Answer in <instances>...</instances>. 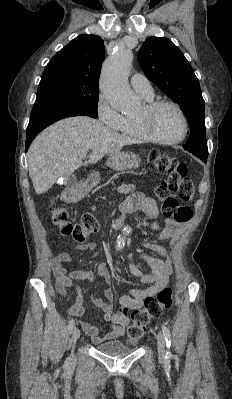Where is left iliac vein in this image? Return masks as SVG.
<instances>
[{
    "instance_id": "obj_1",
    "label": "left iliac vein",
    "mask_w": 232,
    "mask_h": 399,
    "mask_svg": "<svg viewBox=\"0 0 232 399\" xmlns=\"http://www.w3.org/2000/svg\"><path fill=\"white\" fill-rule=\"evenodd\" d=\"M162 332L156 333V339L158 340V351L159 356H166V348H165V337H162Z\"/></svg>"
}]
</instances>
